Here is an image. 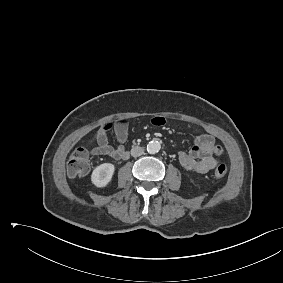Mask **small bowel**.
Returning a JSON list of instances; mask_svg holds the SVG:
<instances>
[{
	"instance_id": "small-bowel-1",
	"label": "small bowel",
	"mask_w": 283,
	"mask_h": 283,
	"mask_svg": "<svg viewBox=\"0 0 283 283\" xmlns=\"http://www.w3.org/2000/svg\"><path fill=\"white\" fill-rule=\"evenodd\" d=\"M152 123L162 126L165 119L160 116L152 118ZM113 131L118 146L113 147L108 142V132ZM128 138V124L123 121L104 123L95 133L94 142L96 146L92 149L95 156H109L114 159H127L129 152L125 146ZM223 154V149L216 144L213 136L202 134L196 137L195 144L189 151H180L178 159L183 168L197 173H206L216 167L219 163V156Z\"/></svg>"
}]
</instances>
